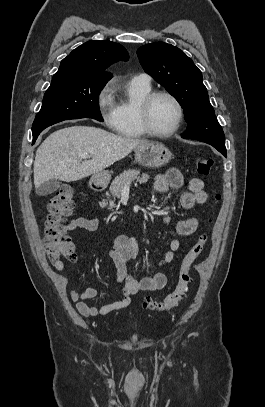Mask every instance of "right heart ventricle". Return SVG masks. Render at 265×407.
I'll return each instance as SVG.
<instances>
[{
	"label": "right heart ventricle",
	"mask_w": 265,
	"mask_h": 407,
	"mask_svg": "<svg viewBox=\"0 0 265 407\" xmlns=\"http://www.w3.org/2000/svg\"><path fill=\"white\" fill-rule=\"evenodd\" d=\"M127 98L116 105L114 131L124 138H142L146 134L138 121V107L152 92L151 84L131 79L127 84Z\"/></svg>",
	"instance_id": "1"
}]
</instances>
